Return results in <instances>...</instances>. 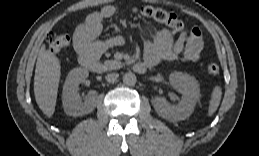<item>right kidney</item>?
I'll list each match as a JSON object with an SVG mask.
<instances>
[{"label": "right kidney", "instance_id": "1", "mask_svg": "<svg viewBox=\"0 0 259 156\" xmlns=\"http://www.w3.org/2000/svg\"><path fill=\"white\" fill-rule=\"evenodd\" d=\"M88 77V71L85 68H74L66 78L63 86V107L67 115L82 116L94 111L97 101V92L90 91L84 102L80 100L78 94L79 85Z\"/></svg>", "mask_w": 259, "mask_h": 156}]
</instances>
